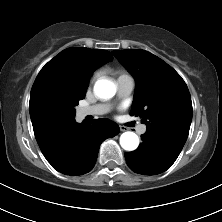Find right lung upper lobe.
I'll use <instances>...</instances> for the list:
<instances>
[{"label": "right lung upper lobe", "mask_w": 222, "mask_h": 222, "mask_svg": "<svg viewBox=\"0 0 222 222\" xmlns=\"http://www.w3.org/2000/svg\"><path fill=\"white\" fill-rule=\"evenodd\" d=\"M109 51L68 48L56 55L39 72L33 84L29 110L39 146L52 136L59 125L74 121V116L53 114V102H67L86 93L90 76L99 66L111 61Z\"/></svg>", "instance_id": "obj_1"}]
</instances>
